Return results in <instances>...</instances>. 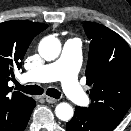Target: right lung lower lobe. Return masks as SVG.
<instances>
[{"label": "right lung lower lobe", "instance_id": "right-lung-lower-lobe-1", "mask_svg": "<svg viewBox=\"0 0 131 131\" xmlns=\"http://www.w3.org/2000/svg\"><path fill=\"white\" fill-rule=\"evenodd\" d=\"M35 105H36V102L33 100V103H32V105H31V107H30V109H29L26 117L24 118L23 122L21 123V125H20V127L17 129V131H23V130L25 129V127H26V125H27V123H28V121H29L31 112H32L33 108L35 107Z\"/></svg>", "mask_w": 131, "mask_h": 131}]
</instances>
